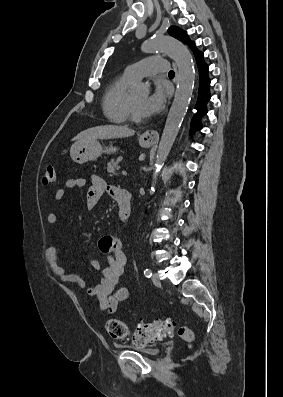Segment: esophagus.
Returning a JSON list of instances; mask_svg holds the SVG:
<instances>
[{
  "instance_id": "esophagus-1",
  "label": "esophagus",
  "mask_w": 283,
  "mask_h": 397,
  "mask_svg": "<svg viewBox=\"0 0 283 397\" xmlns=\"http://www.w3.org/2000/svg\"><path fill=\"white\" fill-rule=\"evenodd\" d=\"M173 67L175 69V73H176V77H177L178 72H177V66L175 63H173ZM158 138H159V134H158L157 130H147L141 135V139L148 143H154L158 140Z\"/></svg>"
}]
</instances>
